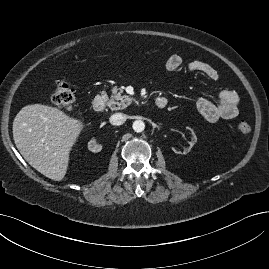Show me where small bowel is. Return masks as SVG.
Listing matches in <instances>:
<instances>
[{"mask_svg": "<svg viewBox=\"0 0 269 269\" xmlns=\"http://www.w3.org/2000/svg\"><path fill=\"white\" fill-rule=\"evenodd\" d=\"M182 58L179 55H171L167 58L165 67L169 72H176L182 65ZM188 70L199 72L206 77L216 80L218 73L216 69L207 62L193 60L188 63ZM240 99L231 90H222L216 95L215 102L201 97L196 101V108L200 114L209 122L218 120H232L239 112Z\"/></svg>", "mask_w": 269, "mask_h": 269, "instance_id": "c3829d8e", "label": "small bowel"}]
</instances>
